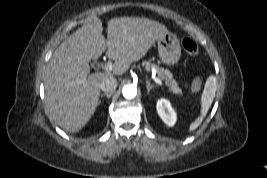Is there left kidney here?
Instances as JSON below:
<instances>
[{
	"label": "left kidney",
	"instance_id": "1",
	"mask_svg": "<svg viewBox=\"0 0 267 178\" xmlns=\"http://www.w3.org/2000/svg\"><path fill=\"white\" fill-rule=\"evenodd\" d=\"M156 108L158 115L163 120V122L168 126H174L177 117L174 109L171 106V103L168 100L162 98L157 101Z\"/></svg>",
	"mask_w": 267,
	"mask_h": 178
}]
</instances>
